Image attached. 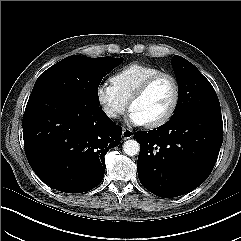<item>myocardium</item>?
Here are the masks:
<instances>
[{"mask_svg":"<svg viewBox=\"0 0 241 241\" xmlns=\"http://www.w3.org/2000/svg\"><path fill=\"white\" fill-rule=\"evenodd\" d=\"M161 78H168L172 81L173 86H174V98H173V101H172V104H171L170 108L161 118H159V119H157L153 122L145 124V126L147 128H150V129L159 128V127L165 125L166 123H168L172 119V117L176 113L177 108L179 106L180 97H181V88H180V84H179L178 79L171 73L159 72V73L149 77L148 79H146L136 89V91L132 94V96L130 97V99L128 101L129 109L131 110L133 104L138 99L143 97L147 93V91L151 88V86Z\"/></svg>","mask_w":241,"mask_h":241,"instance_id":"obj_1","label":"myocardium"}]
</instances>
